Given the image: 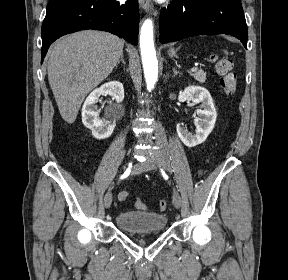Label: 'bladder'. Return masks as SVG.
Wrapping results in <instances>:
<instances>
[{
    "label": "bladder",
    "mask_w": 288,
    "mask_h": 280,
    "mask_svg": "<svg viewBox=\"0 0 288 280\" xmlns=\"http://www.w3.org/2000/svg\"><path fill=\"white\" fill-rule=\"evenodd\" d=\"M115 224L127 233L161 232L166 227L167 218L157 212L124 211L116 215Z\"/></svg>",
    "instance_id": "31cf9c89"
}]
</instances>
